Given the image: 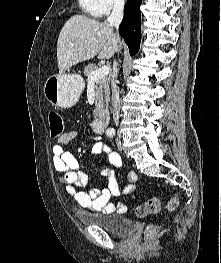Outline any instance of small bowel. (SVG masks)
I'll list each match as a JSON object with an SVG mask.
<instances>
[{
	"label": "small bowel",
	"instance_id": "obj_1",
	"mask_svg": "<svg viewBox=\"0 0 221 263\" xmlns=\"http://www.w3.org/2000/svg\"><path fill=\"white\" fill-rule=\"evenodd\" d=\"M78 134L77 130L66 132L51 145L53 165L59 173L60 184L82 209L92 212H103L104 214L125 212L126 205L120 201L114 202L112 199L120 195H130L131 199L135 200L134 190L137 175L134 172H128L126 174L127 184L121 189L117 181V172L106 169L103 171L106 183L102 189H93L89 193L80 190L87 184L88 177L86 173L78 170L79 163L76 157L63 148V145L77 138ZM92 152L97 156L107 154L109 163L116 168H120L122 165L119 154L110 151L101 142H96L92 146Z\"/></svg>",
	"mask_w": 221,
	"mask_h": 263
}]
</instances>
